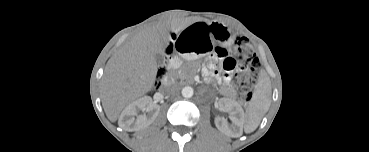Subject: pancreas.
<instances>
[{
  "instance_id": "cf45deb5",
  "label": "pancreas",
  "mask_w": 369,
  "mask_h": 152,
  "mask_svg": "<svg viewBox=\"0 0 369 152\" xmlns=\"http://www.w3.org/2000/svg\"><path fill=\"white\" fill-rule=\"evenodd\" d=\"M190 74L188 72H186L184 75H183V78L185 79H190ZM227 96L230 97V98H235L236 97V91L232 88V87H229L227 88ZM232 100V99H231Z\"/></svg>"
}]
</instances>
